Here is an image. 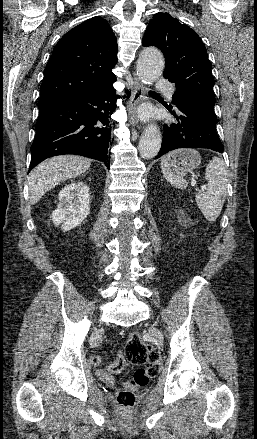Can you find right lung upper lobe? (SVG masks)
<instances>
[{
  "label": "right lung upper lobe",
  "instance_id": "1",
  "mask_svg": "<svg viewBox=\"0 0 257 439\" xmlns=\"http://www.w3.org/2000/svg\"><path fill=\"white\" fill-rule=\"evenodd\" d=\"M117 39L107 21L89 19L66 33L47 63L38 107L97 89L116 76Z\"/></svg>",
  "mask_w": 257,
  "mask_h": 439
}]
</instances>
